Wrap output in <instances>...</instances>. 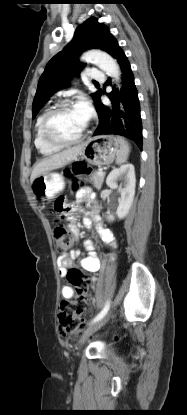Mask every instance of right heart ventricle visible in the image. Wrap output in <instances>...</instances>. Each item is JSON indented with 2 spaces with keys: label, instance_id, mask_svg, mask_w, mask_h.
<instances>
[{
  "label": "right heart ventricle",
  "instance_id": "e07e8e85",
  "mask_svg": "<svg viewBox=\"0 0 187 415\" xmlns=\"http://www.w3.org/2000/svg\"><path fill=\"white\" fill-rule=\"evenodd\" d=\"M47 112H48V109H45L44 111H42V113L38 116L36 120L34 143H35L37 150L41 154L45 156H50V155H53L59 152L62 147L53 146L47 143L42 136V131H41L42 122Z\"/></svg>",
  "mask_w": 187,
  "mask_h": 415
}]
</instances>
